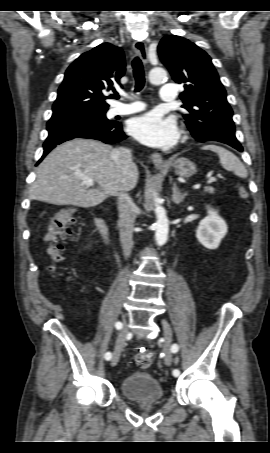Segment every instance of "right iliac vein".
<instances>
[{"mask_svg": "<svg viewBox=\"0 0 270 453\" xmlns=\"http://www.w3.org/2000/svg\"><path fill=\"white\" fill-rule=\"evenodd\" d=\"M123 324H124V327L121 329V331L117 337V340H116L115 349H114L113 356L111 359V366H115L118 363L120 354H121V350L123 348L125 338L127 336L128 329L126 326L125 318L123 319Z\"/></svg>", "mask_w": 270, "mask_h": 453, "instance_id": "63e3f726", "label": "right iliac vein"}]
</instances>
